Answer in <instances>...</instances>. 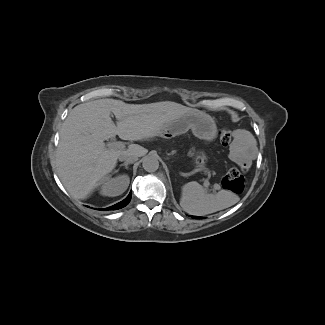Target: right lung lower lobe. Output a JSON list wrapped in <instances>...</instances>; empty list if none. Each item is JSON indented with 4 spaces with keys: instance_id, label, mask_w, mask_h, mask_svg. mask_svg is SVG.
Here are the masks:
<instances>
[{
    "instance_id": "obj_1",
    "label": "right lung lower lobe",
    "mask_w": 325,
    "mask_h": 325,
    "mask_svg": "<svg viewBox=\"0 0 325 325\" xmlns=\"http://www.w3.org/2000/svg\"><path fill=\"white\" fill-rule=\"evenodd\" d=\"M130 200H131V192L123 201H121V202H119V203H117V204H115V205H113L111 207H108L105 210H110V209L111 210H117V209L123 208L130 202Z\"/></svg>"
}]
</instances>
